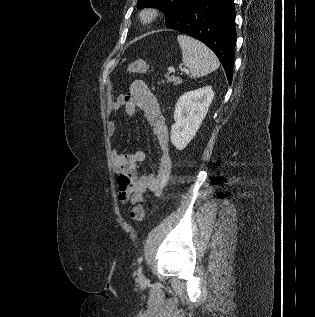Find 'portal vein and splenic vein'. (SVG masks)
I'll return each instance as SVG.
<instances>
[{
    "label": "portal vein and splenic vein",
    "instance_id": "portal-vein-and-splenic-vein-1",
    "mask_svg": "<svg viewBox=\"0 0 315 317\" xmlns=\"http://www.w3.org/2000/svg\"><path fill=\"white\" fill-rule=\"evenodd\" d=\"M169 70H172V69H169ZM184 72H185V73H188V70H187V69H184Z\"/></svg>",
    "mask_w": 315,
    "mask_h": 317
}]
</instances>
